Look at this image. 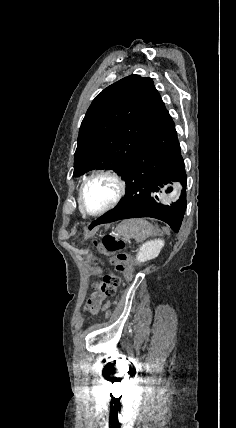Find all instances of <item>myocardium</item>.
Here are the masks:
<instances>
[{"label":"myocardium","instance_id":"obj_1","mask_svg":"<svg viewBox=\"0 0 236 428\" xmlns=\"http://www.w3.org/2000/svg\"><path fill=\"white\" fill-rule=\"evenodd\" d=\"M98 178H109L111 179L117 186V191L110 203H108L106 206H104L101 209L98 210H90L86 206L85 200H84V190L85 187L93 180ZM127 192V183L125 179L122 177V175L117 172L114 169L110 168H103L96 170L92 172L90 175H88L80 184L79 191H78V200L80 204V208L83 213L89 215V216H99L102 215L112 209H114L123 199Z\"/></svg>","mask_w":236,"mask_h":428}]
</instances>
